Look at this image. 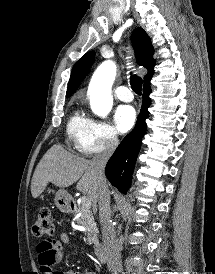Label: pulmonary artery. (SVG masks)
<instances>
[{
    "instance_id": "pulmonary-artery-1",
    "label": "pulmonary artery",
    "mask_w": 215,
    "mask_h": 274,
    "mask_svg": "<svg viewBox=\"0 0 215 274\" xmlns=\"http://www.w3.org/2000/svg\"><path fill=\"white\" fill-rule=\"evenodd\" d=\"M115 96L124 102H130L133 100V94L131 90L126 86H119L115 89Z\"/></svg>"
}]
</instances>
